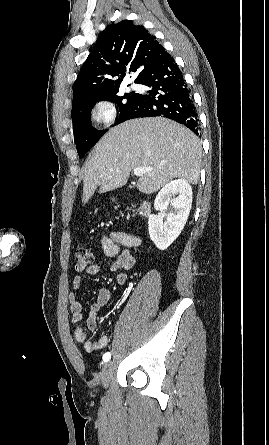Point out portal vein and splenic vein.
Instances as JSON below:
<instances>
[{
	"instance_id": "18ae733b",
	"label": "portal vein and splenic vein",
	"mask_w": 269,
	"mask_h": 445,
	"mask_svg": "<svg viewBox=\"0 0 269 445\" xmlns=\"http://www.w3.org/2000/svg\"><path fill=\"white\" fill-rule=\"evenodd\" d=\"M153 168L138 167L134 169V175L142 176L144 173L151 171Z\"/></svg>"
}]
</instances>
